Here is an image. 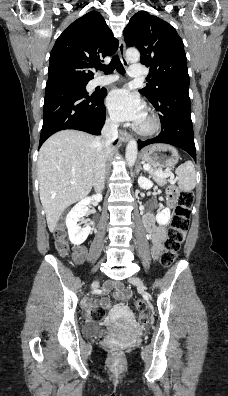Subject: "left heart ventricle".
I'll use <instances>...</instances> for the list:
<instances>
[{
	"instance_id": "obj_1",
	"label": "left heart ventricle",
	"mask_w": 228,
	"mask_h": 396,
	"mask_svg": "<svg viewBox=\"0 0 228 396\" xmlns=\"http://www.w3.org/2000/svg\"><path fill=\"white\" fill-rule=\"evenodd\" d=\"M141 124H142V125L147 124V119H146V117L143 119V121L141 122Z\"/></svg>"
}]
</instances>
